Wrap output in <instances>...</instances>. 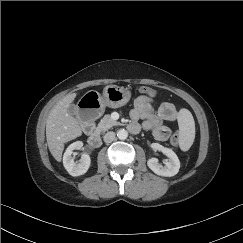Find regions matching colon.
Here are the masks:
<instances>
[{
	"label": "colon",
	"instance_id": "colon-1",
	"mask_svg": "<svg viewBox=\"0 0 243 243\" xmlns=\"http://www.w3.org/2000/svg\"><path fill=\"white\" fill-rule=\"evenodd\" d=\"M138 91L141 94H143L144 96L149 97V98H154L157 95V91L154 88L148 87V86H140L138 88ZM171 143L173 145H177L178 144V137L176 135L172 136Z\"/></svg>",
	"mask_w": 243,
	"mask_h": 243
}]
</instances>
